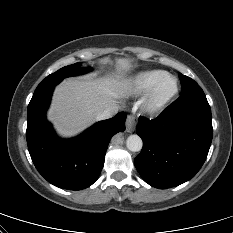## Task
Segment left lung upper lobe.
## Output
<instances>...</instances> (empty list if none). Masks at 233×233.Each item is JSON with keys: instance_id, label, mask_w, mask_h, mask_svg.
Wrapping results in <instances>:
<instances>
[{"instance_id": "5c2ea615", "label": "left lung upper lobe", "mask_w": 233, "mask_h": 233, "mask_svg": "<svg viewBox=\"0 0 233 233\" xmlns=\"http://www.w3.org/2000/svg\"><path fill=\"white\" fill-rule=\"evenodd\" d=\"M179 78L181 80L182 95H187L192 93H203L201 87L190 77L184 76L181 73H179Z\"/></svg>"}]
</instances>
